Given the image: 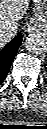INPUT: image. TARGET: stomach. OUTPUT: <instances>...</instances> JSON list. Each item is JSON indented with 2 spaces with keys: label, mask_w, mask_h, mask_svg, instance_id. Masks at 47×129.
Listing matches in <instances>:
<instances>
[{
  "label": "stomach",
  "mask_w": 47,
  "mask_h": 129,
  "mask_svg": "<svg viewBox=\"0 0 47 129\" xmlns=\"http://www.w3.org/2000/svg\"><path fill=\"white\" fill-rule=\"evenodd\" d=\"M34 4V17L32 24L35 28L47 31V0H32Z\"/></svg>",
  "instance_id": "1"
}]
</instances>
